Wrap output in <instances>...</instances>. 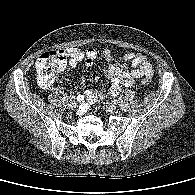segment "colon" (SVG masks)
Here are the masks:
<instances>
[{"mask_svg": "<svg viewBox=\"0 0 195 195\" xmlns=\"http://www.w3.org/2000/svg\"><path fill=\"white\" fill-rule=\"evenodd\" d=\"M66 65L65 57L57 52H45L36 61L35 68L41 86H50L62 73ZM142 85L149 86V78L141 80Z\"/></svg>", "mask_w": 195, "mask_h": 195, "instance_id": "colon-1", "label": "colon"}]
</instances>
